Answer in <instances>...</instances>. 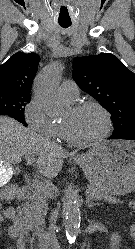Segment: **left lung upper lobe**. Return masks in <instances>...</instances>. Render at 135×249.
Segmentation results:
<instances>
[{"instance_id": "obj_1", "label": "left lung upper lobe", "mask_w": 135, "mask_h": 249, "mask_svg": "<svg viewBox=\"0 0 135 249\" xmlns=\"http://www.w3.org/2000/svg\"><path fill=\"white\" fill-rule=\"evenodd\" d=\"M77 85L112 115L114 133L135 125V74L111 53L77 57L73 61Z\"/></svg>"}]
</instances>
